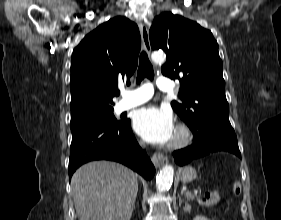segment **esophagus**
I'll return each mask as SVG.
<instances>
[{
  "label": "esophagus",
  "mask_w": 281,
  "mask_h": 220,
  "mask_svg": "<svg viewBox=\"0 0 281 220\" xmlns=\"http://www.w3.org/2000/svg\"><path fill=\"white\" fill-rule=\"evenodd\" d=\"M139 28H140V33H141L142 46H143L144 50L148 54H150L151 45H150V39H149V29L145 23H140ZM152 162L156 167H160L164 164H167L169 162V160L167 157H165L161 153H154L152 156Z\"/></svg>",
  "instance_id": "obj_1"
}]
</instances>
